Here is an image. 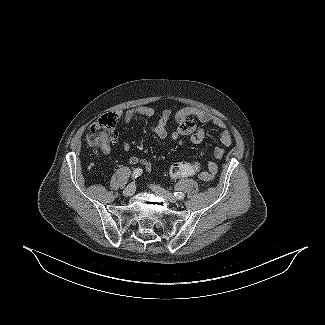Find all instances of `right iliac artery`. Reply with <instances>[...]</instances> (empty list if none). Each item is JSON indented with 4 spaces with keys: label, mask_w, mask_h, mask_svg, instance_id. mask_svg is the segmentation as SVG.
I'll return each mask as SVG.
<instances>
[{
    "label": "right iliac artery",
    "mask_w": 325,
    "mask_h": 325,
    "mask_svg": "<svg viewBox=\"0 0 325 325\" xmlns=\"http://www.w3.org/2000/svg\"><path fill=\"white\" fill-rule=\"evenodd\" d=\"M143 173L141 168H136L132 173V178H137Z\"/></svg>",
    "instance_id": "82829eb1"
}]
</instances>
